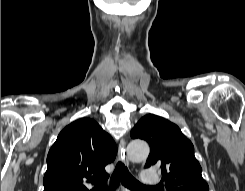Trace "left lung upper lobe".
Segmentation results:
<instances>
[{
	"label": "left lung upper lobe",
	"instance_id": "1",
	"mask_svg": "<svg viewBox=\"0 0 245 191\" xmlns=\"http://www.w3.org/2000/svg\"><path fill=\"white\" fill-rule=\"evenodd\" d=\"M130 135L149 143L150 154L145 168L160 166L168 191H209L194 156V146L176 124L148 114L138 121Z\"/></svg>",
	"mask_w": 245,
	"mask_h": 191
}]
</instances>
